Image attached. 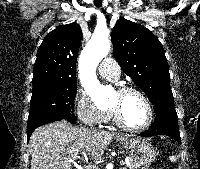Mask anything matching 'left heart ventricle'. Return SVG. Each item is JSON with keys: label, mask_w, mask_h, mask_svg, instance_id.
Masks as SVG:
<instances>
[{"label": "left heart ventricle", "mask_w": 200, "mask_h": 169, "mask_svg": "<svg viewBox=\"0 0 200 169\" xmlns=\"http://www.w3.org/2000/svg\"><path fill=\"white\" fill-rule=\"evenodd\" d=\"M109 106L119 108L124 122L131 127H140L148 119V110L143 99L135 93L119 95L116 91L108 102Z\"/></svg>", "instance_id": "1"}]
</instances>
